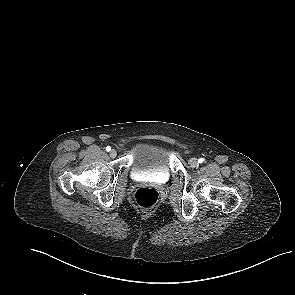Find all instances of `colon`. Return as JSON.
<instances>
[{
	"label": "colon",
	"instance_id": "1",
	"mask_svg": "<svg viewBox=\"0 0 295 295\" xmlns=\"http://www.w3.org/2000/svg\"><path fill=\"white\" fill-rule=\"evenodd\" d=\"M134 200L140 208L150 209L157 204L159 193L153 188H139L134 193Z\"/></svg>",
	"mask_w": 295,
	"mask_h": 295
}]
</instances>
